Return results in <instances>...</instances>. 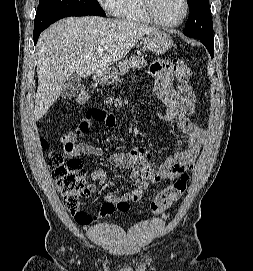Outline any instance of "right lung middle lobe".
<instances>
[{
  "label": "right lung middle lobe",
  "mask_w": 253,
  "mask_h": 271,
  "mask_svg": "<svg viewBox=\"0 0 253 271\" xmlns=\"http://www.w3.org/2000/svg\"><path fill=\"white\" fill-rule=\"evenodd\" d=\"M105 16L97 0H39L34 32L44 30L55 21L68 16Z\"/></svg>",
  "instance_id": "right-lung-middle-lobe-1"
}]
</instances>
